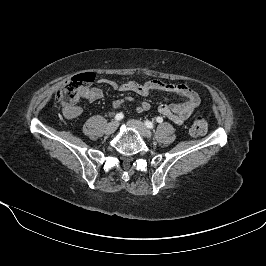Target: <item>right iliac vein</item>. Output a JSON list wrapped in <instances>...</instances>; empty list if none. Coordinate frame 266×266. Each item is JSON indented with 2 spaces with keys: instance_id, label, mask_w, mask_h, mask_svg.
<instances>
[{
  "instance_id": "1",
  "label": "right iliac vein",
  "mask_w": 266,
  "mask_h": 266,
  "mask_svg": "<svg viewBox=\"0 0 266 266\" xmlns=\"http://www.w3.org/2000/svg\"><path fill=\"white\" fill-rule=\"evenodd\" d=\"M117 127H118V123L116 121H112L106 126L105 132L107 134H112L116 131Z\"/></svg>"
}]
</instances>
